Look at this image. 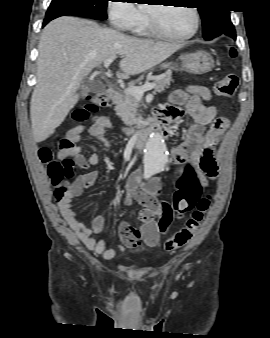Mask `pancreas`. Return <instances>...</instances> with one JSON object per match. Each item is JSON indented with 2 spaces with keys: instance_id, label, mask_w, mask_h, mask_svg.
<instances>
[{
  "instance_id": "cf45deb5",
  "label": "pancreas",
  "mask_w": 270,
  "mask_h": 338,
  "mask_svg": "<svg viewBox=\"0 0 270 338\" xmlns=\"http://www.w3.org/2000/svg\"><path fill=\"white\" fill-rule=\"evenodd\" d=\"M172 78L170 75H160L155 78V91L163 92L169 87ZM139 107L138 99L130 93L124 91L120 99L116 102V112L121 117L123 123L129 127L138 124L137 109Z\"/></svg>"
}]
</instances>
